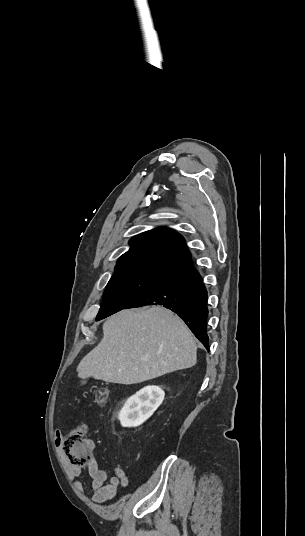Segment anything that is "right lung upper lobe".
Segmentation results:
<instances>
[{"instance_id":"cb5924a9","label":"right lung upper lobe","mask_w":305,"mask_h":536,"mask_svg":"<svg viewBox=\"0 0 305 536\" xmlns=\"http://www.w3.org/2000/svg\"><path fill=\"white\" fill-rule=\"evenodd\" d=\"M129 244L130 249L118 259L112 277H166L193 265L184 238L166 227L134 236Z\"/></svg>"}]
</instances>
